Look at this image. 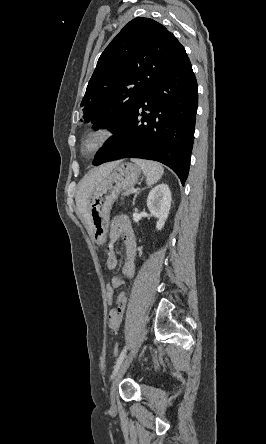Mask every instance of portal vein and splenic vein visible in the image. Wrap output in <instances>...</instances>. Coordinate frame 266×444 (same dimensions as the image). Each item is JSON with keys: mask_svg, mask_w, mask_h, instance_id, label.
<instances>
[{"mask_svg": "<svg viewBox=\"0 0 266 444\" xmlns=\"http://www.w3.org/2000/svg\"><path fill=\"white\" fill-rule=\"evenodd\" d=\"M133 191H134V192H137V189H134Z\"/></svg>", "mask_w": 266, "mask_h": 444, "instance_id": "1", "label": "portal vein and splenic vein"}]
</instances>
